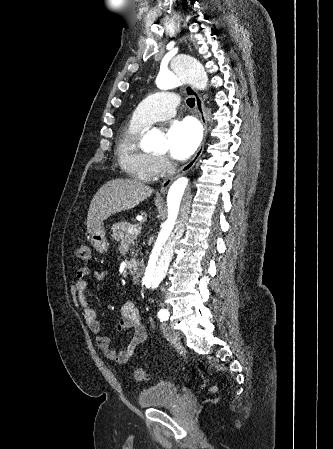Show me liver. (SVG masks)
I'll use <instances>...</instances> for the list:
<instances>
[{"label": "liver", "mask_w": 333, "mask_h": 449, "mask_svg": "<svg viewBox=\"0 0 333 449\" xmlns=\"http://www.w3.org/2000/svg\"><path fill=\"white\" fill-rule=\"evenodd\" d=\"M153 192L149 186L135 180L113 179L105 183L91 201L87 230L91 233L115 213L134 208Z\"/></svg>", "instance_id": "liver-1"}]
</instances>
